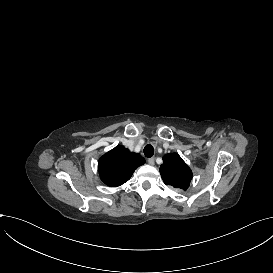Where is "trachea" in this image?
<instances>
[{
    "label": "trachea",
    "mask_w": 273,
    "mask_h": 273,
    "mask_svg": "<svg viewBox=\"0 0 273 273\" xmlns=\"http://www.w3.org/2000/svg\"><path fill=\"white\" fill-rule=\"evenodd\" d=\"M143 151L147 158H150L154 155V149L151 145H146Z\"/></svg>",
    "instance_id": "obj_1"
}]
</instances>
